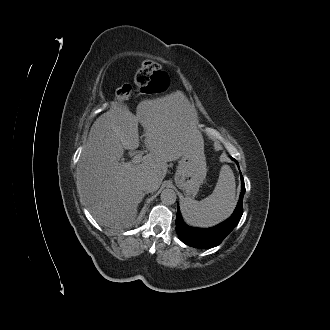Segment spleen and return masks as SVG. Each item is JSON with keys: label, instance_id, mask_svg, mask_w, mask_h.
I'll return each mask as SVG.
<instances>
[{"label": "spleen", "instance_id": "1", "mask_svg": "<svg viewBox=\"0 0 330 330\" xmlns=\"http://www.w3.org/2000/svg\"><path fill=\"white\" fill-rule=\"evenodd\" d=\"M235 177L228 165L220 170L218 182L211 195L201 201L184 198L181 211L184 220L192 226L211 227L228 218L236 204Z\"/></svg>", "mask_w": 330, "mask_h": 330}]
</instances>
